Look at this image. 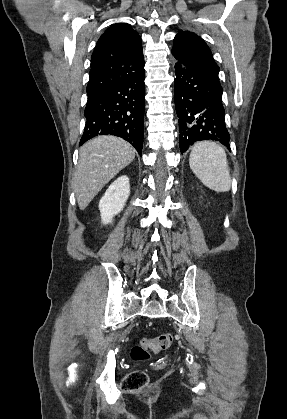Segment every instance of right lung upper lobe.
I'll return each instance as SVG.
<instances>
[{
  "instance_id": "cb5924a9",
  "label": "right lung upper lobe",
  "mask_w": 287,
  "mask_h": 419,
  "mask_svg": "<svg viewBox=\"0 0 287 419\" xmlns=\"http://www.w3.org/2000/svg\"><path fill=\"white\" fill-rule=\"evenodd\" d=\"M90 66L88 96L135 76L144 69L140 36L128 24H113L98 40Z\"/></svg>"
}]
</instances>
